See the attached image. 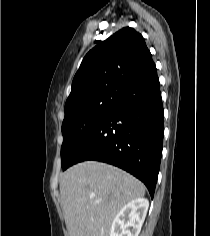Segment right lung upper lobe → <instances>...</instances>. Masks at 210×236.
Segmentation results:
<instances>
[{"label":"right lung upper lobe","instance_id":"1","mask_svg":"<svg viewBox=\"0 0 210 236\" xmlns=\"http://www.w3.org/2000/svg\"><path fill=\"white\" fill-rule=\"evenodd\" d=\"M155 70L142 35L125 27L86 54L73 79L65 111L95 95L123 92Z\"/></svg>","mask_w":210,"mask_h":236}]
</instances>
